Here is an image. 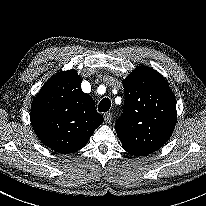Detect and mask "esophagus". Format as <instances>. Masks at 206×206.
<instances>
[{"instance_id": "1", "label": "esophagus", "mask_w": 206, "mask_h": 206, "mask_svg": "<svg viewBox=\"0 0 206 206\" xmlns=\"http://www.w3.org/2000/svg\"><path fill=\"white\" fill-rule=\"evenodd\" d=\"M113 118V114L111 112H107L104 114V120L106 123H110Z\"/></svg>"}]
</instances>
